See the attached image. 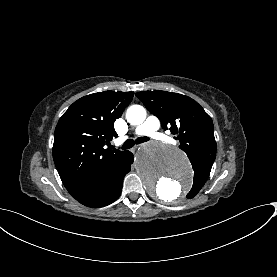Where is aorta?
<instances>
[{"mask_svg":"<svg viewBox=\"0 0 277 277\" xmlns=\"http://www.w3.org/2000/svg\"><path fill=\"white\" fill-rule=\"evenodd\" d=\"M127 121L139 125L146 118L141 105H132L126 113ZM136 170L148 194L161 202H174L190 190L193 182L190 164L184 152L162 142L141 146L136 158Z\"/></svg>","mask_w":277,"mask_h":277,"instance_id":"aorta-1","label":"aorta"}]
</instances>
